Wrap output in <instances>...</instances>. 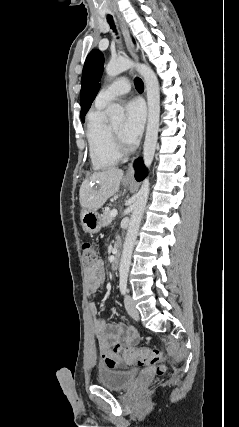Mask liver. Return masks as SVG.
I'll list each match as a JSON object with an SVG mask.
<instances>
[{"label":"liver","instance_id":"obj_1","mask_svg":"<svg viewBox=\"0 0 239 427\" xmlns=\"http://www.w3.org/2000/svg\"><path fill=\"white\" fill-rule=\"evenodd\" d=\"M122 178L123 170L115 167L94 172L80 187L81 207L92 210L101 208L118 191ZM92 182L97 183L98 187H92Z\"/></svg>","mask_w":239,"mask_h":427}]
</instances>
